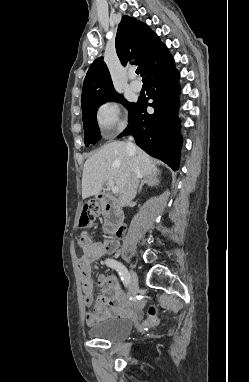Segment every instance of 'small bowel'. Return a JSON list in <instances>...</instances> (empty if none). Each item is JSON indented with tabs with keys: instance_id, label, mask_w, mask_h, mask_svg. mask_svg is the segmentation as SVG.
<instances>
[{
	"instance_id": "1",
	"label": "small bowel",
	"mask_w": 249,
	"mask_h": 382,
	"mask_svg": "<svg viewBox=\"0 0 249 382\" xmlns=\"http://www.w3.org/2000/svg\"><path fill=\"white\" fill-rule=\"evenodd\" d=\"M119 247V242L112 240L95 241L83 249L82 256L77 260V267L86 306L93 305L95 300L91 265L106 254L116 253ZM97 283L103 294L97 299L93 310L86 313L87 325L92 326L100 320L111 317L133 316L141 309L139 301L125 298L115 275L100 274Z\"/></svg>"
}]
</instances>
